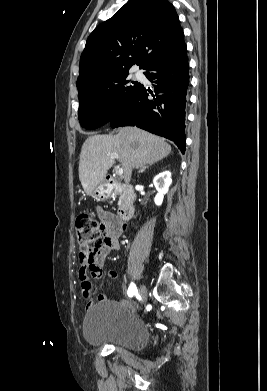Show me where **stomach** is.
<instances>
[{"instance_id": "stomach-1", "label": "stomach", "mask_w": 267, "mask_h": 391, "mask_svg": "<svg viewBox=\"0 0 267 391\" xmlns=\"http://www.w3.org/2000/svg\"><path fill=\"white\" fill-rule=\"evenodd\" d=\"M112 188L109 183L103 181L98 184L92 191V196L96 200H104L110 197Z\"/></svg>"}]
</instances>
